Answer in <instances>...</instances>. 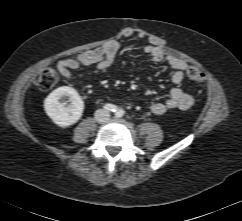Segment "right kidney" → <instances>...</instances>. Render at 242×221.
I'll list each match as a JSON object with an SVG mask.
<instances>
[{
	"mask_svg": "<svg viewBox=\"0 0 242 221\" xmlns=\"http://www.w3.org/2000/svg\"><path fill=\"white\" fill-rule=\"evenodd\" d=\"M44 109L56 125L65 128L80 120L84 102L74 88L62 86L47 96Z\"/></svg>",
	"mask_w": 242,
	"mask_h": 221,
	"instance_id": "obj_1",
	"label": "right kidney"
}]
</instances>
